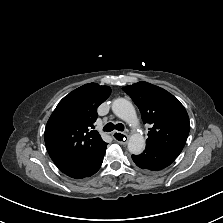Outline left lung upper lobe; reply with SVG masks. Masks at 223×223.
<instances>
[{
  "label": "left lung upper lobe",
  "mask_w": 223,
  "mask_h": 223,
  "mask_svg": "<svg viewBox=\"0 0 223 223\" xmlns=\"http://www.w3.org/2000/svg\"><path fill=\"white\" fill-rule=\"evenodd\" d=\"M122 89L138 106L143 123L152 125L146 145L180 154L190 130L188 114L180 101L168 91L144 81Z\"/></svg>",
  "instance_id": "obj_1"
}]
</instances>
